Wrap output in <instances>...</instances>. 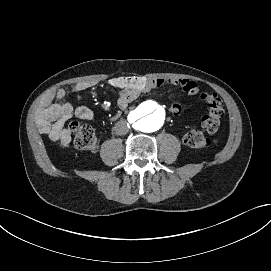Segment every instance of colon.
Returning a JSON list of instances; mask_svg holds the SVG:
<instances>
[{
	"mask_svg": "<svg viewBox=\"0 0 271 271\" xmlns=\"http://www.w3.org/2000/svg\"><path fill=\"white\" fill-rule=\"evenodd\" d=\"M200 98L207 105V113L203 116L200 129L188 131L184 136L186 145L192 148H205L212 141L205 136L204 131L214 133L218 130L224 115V105L222 99L215 93L204 91L200 94ZM173 113L182 110L181 104L176 101L170 105ZM70 131L73 136L74 147L81 152H95L98 148V141L94 130L88 126L78 122L70 124Z\"/></svg>",
	"mask_w": 271,
	"mask_h": 271,
	"instance_id": "obj_1",
	"label": "colon"
}]
</instances>
